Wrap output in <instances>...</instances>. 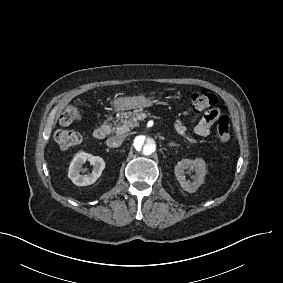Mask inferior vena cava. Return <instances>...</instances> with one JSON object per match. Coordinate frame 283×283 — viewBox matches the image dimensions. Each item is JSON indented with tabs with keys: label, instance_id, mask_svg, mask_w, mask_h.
I'll use <instances>...</instances> for the list:
<instances>
[{
	"label": "inferior vena cava",
	"instance_id": "inferior-vena-cava-1",
	"mask_svg": "<svg viewBox=\"0 0 283 283\" xmlns=\"http://www.w3.org/2000/svg\"><path fill=\"white\" fill-rule=\"evenodd\" d=\"M106 142L109 147L117 148L123 144L124 139L121 136H113L109 137Z\"/></svg>",
	"mask_w": 283,
	"mask_h": 283
}]
</instances>
